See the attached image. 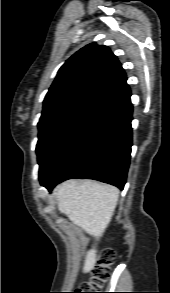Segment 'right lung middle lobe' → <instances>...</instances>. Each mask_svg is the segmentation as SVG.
<instances>
[{
    "instance_id": "1",
    "label": "right lung middle lobe",
    "mask_w": 170,
    "mask_h": 293,
    "mask_svg": "<svg viewBox=\"0 0 170 293\" xmlns=\"http://www.w3.org/2000/svg\"><path fill=\"white\" fill-rule=\"evenodd\" d=\"M109 108L77 105L63 109L38 123L36 152L40 182L55 173L61 162L89 134Z\"/></svg>"
}]
</instances>
